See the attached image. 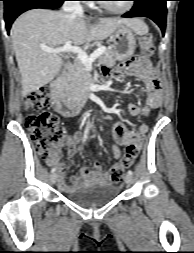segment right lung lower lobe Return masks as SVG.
Listing matches in <instances>:
<instances>
[{
    "label": "right lung lower lobe",
    "mask_w": 194,
    "mask_h": 253,
    "mask_svg": "<svg viewBox=\"0 0 194 253\" xmlns=\"http://www.w3.org/2000/svg\"><path fill=\"white\" fill-rule=\"evenodd\" d=\"M5 3V23L9 34L13 21L23 12L34 8H58L65 0H0Z\"/></svg>",
    "instance_id": "right-lung-lower-lobe-1"
}]
</instances>
